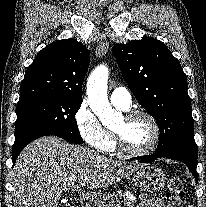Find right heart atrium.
<instances>
[{"label": "right heart atrium", "instance_id": "right-heart-atrium-1", "mask_svg": "<svg viewBox=\"0 0 206 207\" xmlns=\"http://www.w3.org/2000/svg\"><path fill=\"white\" fill-rule=\"evenodd\" d=\"M74 121L81 138L90 147L99 151H109V133L91 110L87 100H83L77 107Z\"/></svg>", "mask_w": 206, "mask_h": 207}]
</instances>
